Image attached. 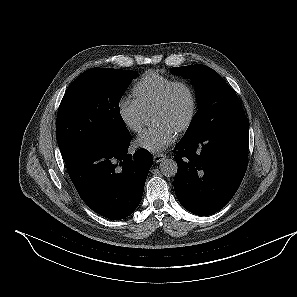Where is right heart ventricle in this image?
Here are the masks:
<instances>
[{
  "mask_svg": "<svg viewBox=\"0 0 297 297\" xmlns=\"http://www.w3.org/2000/svg\"><path fill=\"white\" fill-rule=\"evenodd\" d=\"M175 80L154 71L146 72L132 87L134 100L146 113L152 109L164 90Z\"/></svg>",
  "mask_w": 297,
  "mask_h": 297,
  "instance_id": "obj_1",
  "label": "right heart ventricle"
}]
</instances>
